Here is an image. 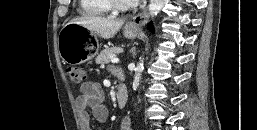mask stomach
Instances as JSON below:
<instances>
[{"instance_id": "stomach-1", "label": "stomach", "mask_w": 257, "mask_h": 130, "mask_svg": "<svg viewBox=\"0 0 257 130\" xmlns=\"http://www.w3.org/2000/svg\"><path fill=\"white\" fill-rule=\"evenodd\" d=\"M139 28L131 24L124 26V36L129 39L137 37ZM93 32L76 23H67L63 26L58 37L59 54L63 62L68 64H81L91 60L98 53V48L88 42Z\"/></svg>"}]
</instances>
